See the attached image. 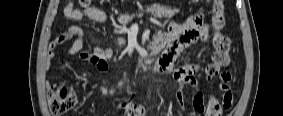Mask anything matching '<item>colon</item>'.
I'll list each match as a JSON object with an SVG mask.
<instances>
[{"label":"colon","instance_id":"obj_1","mask_svg":"<svg viewBox=\"0 0 283 116\" xmlns=\"http://www.w3.org/2000/svg\"><path fill=\"white\" fill-rule=\"evenodd\" d=\"M82 7L87 8L90 0H79ZM211 24L214 29L212 61L206 66L207 80L220 77L225 82L231 81L229 72L223 71L230 64V38L222 33L225 27L223 0H214L212 6ZM75 103V94L67 84H59L49 94V107L54 115H63L68 112ZM232 100L219 99L215 96L209 98L207 109L210 116H220L223 109L231 107Z\"/></svg>","mask_w":283,"mask_h":116}]
</instances>
